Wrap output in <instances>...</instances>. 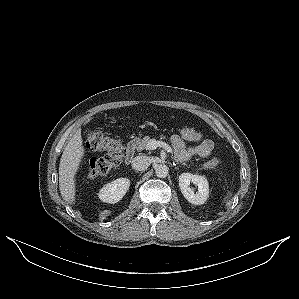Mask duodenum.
<instances>
[{
    "label": "duodenum",
    "mask_w": 299,
    "mask_h": 299,
    "mask_svg": "<svg viewBox=\"0 0 299 299\" xmlns=\"http://www.w3.org/2000/svg\"><path fill=\"white\" fill-rule=\"evenodd\" d=\"M134 153H135V142L129 141L125 147V152H124V158L127 164H129L133 159Z\"/></svg>",
    "instance_id": "1"
}]
</instances>
